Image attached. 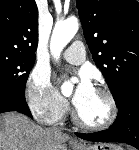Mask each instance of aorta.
<instances>
[{"mask_svg": "<svg viewBox=\"0 0 139 150\" xmlns=\"http://www.w3.org/2000/svg\"><path fill=\"white\" fill-rule=\"evenodd\" d=\"M78 29L79 23L76 17H70L55 24L50 40V51L56 59L59 58L61 51L74 37ZM72 90L73 84L71 82H65L61 87L64 95H70Z\"/></svg>", "mask_w": 139, "mask_h": 150, "instance_id": "obj_1", "label": "aorta"}]
</instances>
